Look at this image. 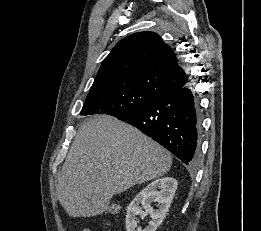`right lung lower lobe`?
I'll list each match as a JSON object with an SVG mask.
<instances>
[{
    "instance_id": "98d812e1",
    "label": "right lung lower lobe",
    "mask_w": 261,
    "mask_h": 231,
    "mask_svg": "<svg viewBox=\"0 0 261 231\" xmlns=\"http://www.w3.org/2000/svg\"><path fill=\"white\" fill-rule=\"evenodd\" d=\"M164 146L186 165L200 150L201 114L197 93L188 85L166 93L143 108L118 117Z\"/></svg>"
}]
</instances>
